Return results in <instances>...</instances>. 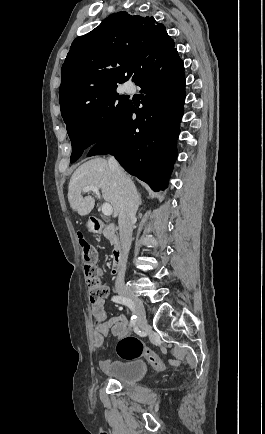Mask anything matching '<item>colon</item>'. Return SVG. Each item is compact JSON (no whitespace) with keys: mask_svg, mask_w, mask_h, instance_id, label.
<instances>
[{"mask_svg":"<svg viewBox=\"0 0 265 434\" xmlns=\"http://www.w3.org/2000/svg\"><path fill=\"white\" fill-rule=\"evenodd\" d=\"M77 239L84 261L85 280L90 300L93 303H100L108 297L109 288L102 279L98 250L82 232L78 233ZM97 324H100V321H97ZM115 350L117 356L123 361L132 362L145 357L148 364L154 369L163 370L166 368V362L153 354L146 344L135 336H125L122 338L115 345Z\"/></svg>","mask_w":265,"mask_h":434,"instance_id":"5ec220e1","label":"colon"}]
</instances>
